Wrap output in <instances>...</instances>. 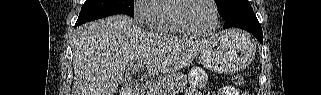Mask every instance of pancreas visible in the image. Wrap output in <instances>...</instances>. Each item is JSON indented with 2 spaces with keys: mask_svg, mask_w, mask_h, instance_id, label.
Listing matches in <instances>:
<instances>
[{
  "mask_svg": "<svg viewBox=\"0 0 321 95\" xmlns=\"http://www.w3.org/2000/svg\"><path fill=\"white\" fill-rule=\"evenodd\" d=\"M187 77L177 72L166 74L161 80L148 84L146 95H169L170 92L186 88Z\"/></svg>",
  "mask_w": 321,
  "mask_h": 95,
  "instance_id": "pancreas-1",
  "label": "pancreas"
}]
</instances>
